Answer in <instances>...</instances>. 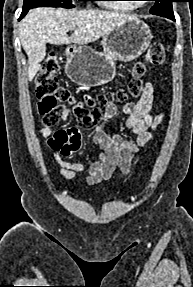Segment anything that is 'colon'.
<instances>
[{
	"label": "colon",
	"instance_id": "5ec220e1",
	"mask_svg": "<svg viewBox=\"0 0 193 287\" xmlns=\"http://www.w3.org/2000/svg\"><path fill=\"white\" fill-rule=\"evenodd\" d=\"M164 59L163 44L154 42L147 50L144 59L133 66L132 78L126 89L100 95L86 94L81 101H76L71 92L60 84L58 57L55 53H50L36 78L38 108L45 115L43 126L54 128L60 112L68 106L73 110L80 127L92 128L102 119V109L107 105L139 97L143 91V78L147 74L148 67L161 65Z\"/></svg>",
	"mask_w": 193,
	"mask_h": 287
}]
</instances>
